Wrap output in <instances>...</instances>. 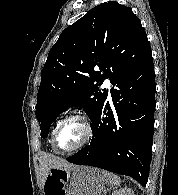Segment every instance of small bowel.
<instances>
[{
  "label": "small bowel",
  "instance_id": "small-bowel-1",
  "mask_svg": "<svg viewBox=\"0 0 178 195\" xmlns=\"http://www.w3.org/2000/svg\"><path fill=\"white\" fill-rule=\"evenodd\" d=\"M47 195H61V191L58 190H53V191H47Z\"/></svg>",
  "mask_w": 178,
  "mask_h": 195
}]
</instances>
